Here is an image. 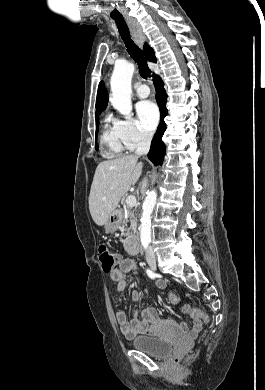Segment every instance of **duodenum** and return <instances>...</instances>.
<instances>
[{"label": "duodenum", "mask_w": 265, "mask_h": 390, "mask_svg": "<svg viewBox=\"0 0 265 390\" xmlns=\"http://www.w3.org/2000/svg\"><path fill=\"white\" fill-rule=\"evenodd\" d=\"M127 251L132 255H137L141 251V246L136 238H130L127 241Z\"/></svg>", "instance_id": "duodenum-1"}]
</instances>
